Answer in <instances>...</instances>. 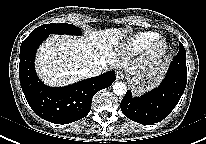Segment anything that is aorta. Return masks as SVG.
Listing matches in <instances>:
<instances>
[{"label": "aorta", "mask_w": 206, "mask_h": 144, "mask_svg": "<svg viewBox=\"0 0 206 144\" xmlns=\"http://www.w3.org/2000/svg\"><path fill=\"white\" fill-rule=\"evenodd\" d=\"M113 92L117 96H124L127 92V87L123 82H115L113 85Z\"/></svg>", "instance_id": "obj_1"}]
</instances>
